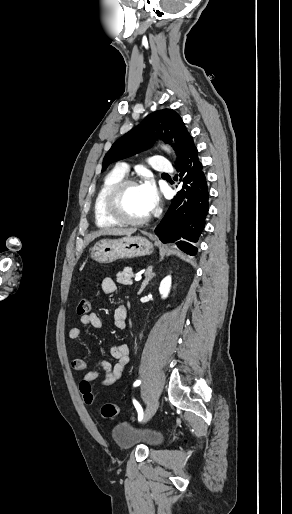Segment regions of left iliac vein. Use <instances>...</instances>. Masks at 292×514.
Returning <instances> with one entry per match:
<instances>
[{
	"label": "left iliac vein",
	"mask_w": 292,
	"mask_h": 514,
	"mask_svg": "<svg viewBox=\"0 0 292 514\" xmlns=\"http://www.w3.org/2000/svg\"><path fill=\"white\" fill-rule=\"evenodd\" d=\"M158 407H159V401L158 400L151 401L148 404V406L146 408V411H145V415H144V422L145 423L152 418V416L157 411Z\"/></svg>",
	"instance_id": "obj_1"
}]
</instances>
